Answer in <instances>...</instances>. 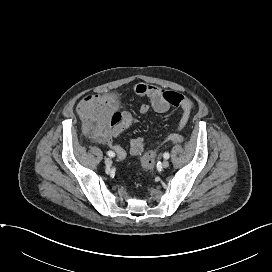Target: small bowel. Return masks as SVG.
Wrapping results in <instances>:
<instances>
[{
    "mask_svg": "<svg viewBox=\"0 0 272 272\" xmlns=\"http://www.w3.org/2000/svg\"><path fill=\"white\" fill-rule=\"evenodd\" d=\"M134 92L142 99H147L140 107V111L143 115L147 114L150 110H153L156 113H165L170 108L174 107L181 111V114L177 119V129L181 131L187 125L190 114L194 108V104L190 98L180 93L168 91L142 82L134 86ZM134 122L135 119L133 116L125 113L119 124L113 126L110 130H107L103 135L96 136V139L100 142L107 143L116 152L119 159H124L126 151L120 145L115 144L113 139L118 137ZM129 148L131 154L139 155L145 149V142L142 138H133L129 142Z\"/></svg>",
    "mask_w": 272,
    "mask_h": 272,
    "instance_id": "obj_1",
    "label": "small bowel"
}]
</instances>
